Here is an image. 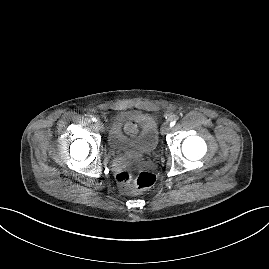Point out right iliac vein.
Segmentation results:
<instances>
[{
  "label": "right iliac vein",
  "instance_id": "right-iliac-vein-1",
  "mask_svg": "<svg viewBox=\"0 0 269 269\" xmlns=\"http://www.w3.org/2000/svg\"><path fill=\"white\" fill-rule=\"evenodd\" d=\"M96 126L99 130L103 131L104 130V124L101 121L96 122Z\"/></svg>",
  "mask_w": 269,
  "mask_h": 269
}]
</instances>
